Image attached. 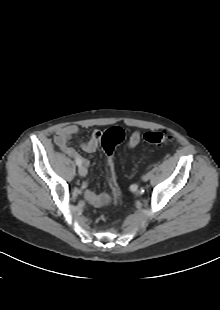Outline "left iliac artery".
<instances>
[{"mask_svg": "<svg viewBox=\"0 0 220 310\" xmlns=\"http://www.w3.org/2000/svg\"><path fill=\"white\" fill-rule=\"evenodd\" d=\"M137 189H138V184H132V185L130 186V190H131L132 192H136Z\"/></svg>", "mask_w": 220, "mask_h": 310, "instance_id": "1", "label": "left iliac artery"}]
</instances>
